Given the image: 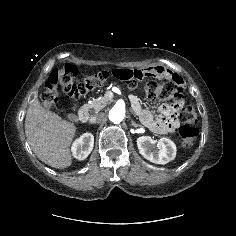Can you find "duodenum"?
Segmentation results:
<instances>
[{"instance_id": "1", "label": "duodenum", "mask_w": 236, "mask_h": 236, "mask_svg": "<svg viewBox=\"0 0 236 236\" xmlns=\"http://www.w3.org/2000/svg\"><path fill=\"white\" fill-rule=\"evenodd\" d=\"M78 118L82 123H85L89 119V111L86 106H81L78 110Z\"/></svg>"}]
</instances>
